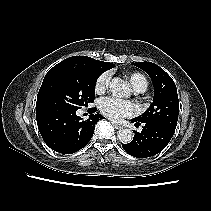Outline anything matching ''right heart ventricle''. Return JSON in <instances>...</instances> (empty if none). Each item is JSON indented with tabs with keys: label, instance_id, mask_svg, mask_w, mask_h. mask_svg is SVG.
<instances>
[{
	"label": "right heart ventricle",
	"instance_id": "e07e8e85",
	"mask_svg": "<svg viewBox=\"0 0 211 211\" xmlns=\"http://www.w3.org/2000/svg\"><path fill=\"white\" fill-rule=\"evenodd\" d=\"M129 81L132 85V87L137 91H145L148 85L146 77L139 73V72H133L129 74L128 76Z\"/></svg>",
	"mask_w": 211,
	"mask_h": 211
}]
</instances>
